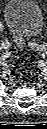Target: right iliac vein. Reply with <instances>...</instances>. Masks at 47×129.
<instances>
[{
	"label": "right iliac vein",
	"mask_w": 47,
	"mask_h": 129,
	"mask_svg": "<svg viewBox=\"0 0 47 129\" xmlns=\"http://www.w3.org/2000/svg\"><path fill=\"white\" fill-rule=\"evenodd\" d=\"M9 46H10V43L9 42L7 44H5V45L1 44V47L2 48H5V49L8 48Z\"/></svg>",
	"instance_id": "63e3f726"
}]
</instances>
